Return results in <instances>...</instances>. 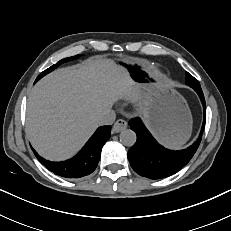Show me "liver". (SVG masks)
Returning a JSON list of instances; mask_svg holds the SVG:
<instances>
[{"label":"liver","instance_id":"liver-1","mask_svg":"<svg viewBox=\"0 0 231 231\" xmlns=\"http://www.w3.org/2000/svg\"><path fill=\"white\" fill-rule=\"evenodd\" d=\"M139 96L125 68L102 57L55 70L30 92L27 136L44 158L65 160L81 149L118 99Z\"/></svg>","mask_w":231,"mask_h":231}]
</instances>
